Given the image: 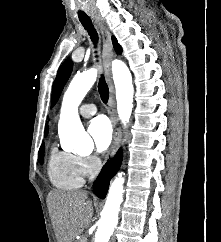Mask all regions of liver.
I'll list each match as a JSON object with an SVG mask.
<instances>
[{"mask_svg": "<svg viewBox=\"0 0 221 242\" xmlns=\"http://www.w3.org/2000/svg\"><path fill=\"white\" fill-rule=\"evenodd\" d=\"M47 204L57 242H73L88 227L93 215L86 191H51Z\"/></svg>", "mask_w": 221, "mask_h": 242, "instance_id": "6515ba94", "label": "liver"}]
</instances>
